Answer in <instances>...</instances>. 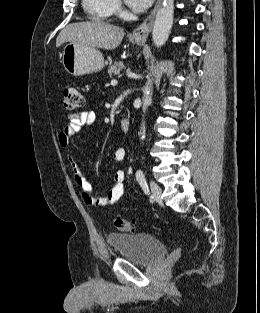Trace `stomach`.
<instances>
[{
	"label": "stomach",
	"instance_id": "1",
	"mask_svg": "<svg viewBox=\"0 0 260 313\" xmlns=\"http://www.w3.org/2000/svg\"><path fill=\"white\" fill-rule=\"evenodd\" d=\"M135 42L138 45L144 43L140 40H135ZM62 63L69 74L83 76L103 69L104 58L96 48L70 42L63 49Z\"/></svg>",
	"mask_w": 260,
	"mask_h": 313
}]
</instances>
